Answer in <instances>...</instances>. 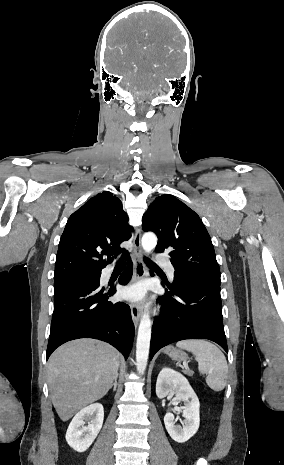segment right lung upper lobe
<instances>
[{
	"label": "right lung upper lobe",
	"instance_id": "right-lung-upper-lobe-1",
	"mask_svg": "<svg viewBox=\"0 0 284 465\" xmlns=\"http://www.w3.org/2000/svg\"><path fill=\"white\" fill-rule=\"evenodd\" d=\"M131 230L119 198L109 191L92 197L67 221L58 246L54 281L100 274L113 261L111 255L127 253L120 244L130 239Z\"/></svg>",
	"mask_w": 284,
	"mask_h": 465
}]
</instances>
